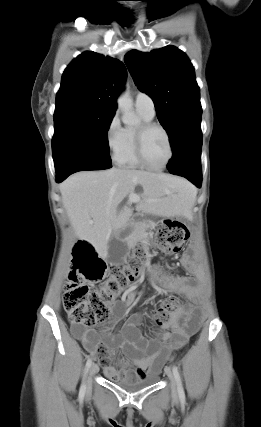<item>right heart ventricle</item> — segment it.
Returning a JSON list of instances; mask_svg holds the SVG:
<instances>
[{
	"label": "right heart ventricle",
	"instance_id": "e07e8e85",
	"mask_svg": "<svg viewBox=\"0 0 261 427\" xmlns=\"http://www.w3.org/2000/svg\"><path fill=\"white\" fill-rule=\"evenodd\" d=\"M144 122H150L152 118L147 117L142 112L138 111ZM117 164L121 167L137 169L143 167L138 161L135 153V129L127 127L124 129L123 145L115 157Z\"/></svg>",
	"mask_w": 261,
	"mask_h": 427
}]
</instances>
